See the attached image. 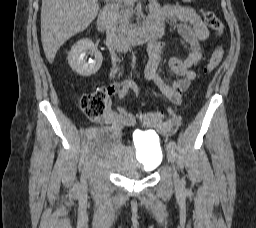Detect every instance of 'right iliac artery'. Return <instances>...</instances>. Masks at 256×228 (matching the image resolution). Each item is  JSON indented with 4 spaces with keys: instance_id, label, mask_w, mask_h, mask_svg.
Wrapping results in <instances>:
<instances>
[{
    "instance_id": "right-iliac-artery-1",
    "label": "right iliac artery",
    "mask_w": 256,
    "mask_h": 228,
    "mask_svg": "<svg viewBox=\"0 0 256 228\" xmlns=\"http://www.w3.org/2000/svg\"><path fill=\"white\" fill-rule=\"evenodd\" d=\"M94 128L90 127L86 130V136L92 135L93 134Z\"/></svg>"
}]
</instances>
